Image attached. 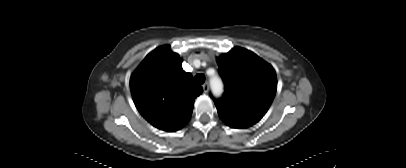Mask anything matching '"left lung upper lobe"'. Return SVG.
<instances>
[{
	"mask_svg": "<svg viewBox=\"0 0 406 168\" xmlns=\"http://www.w3.org/2000/svg\"><path fill=\"white\" fill-rule=\"evenodd\" d=\"M225 83L222 98L214 100L219 116L258 122L269 109L277 89L273 67L253 52L235 47L217 58Z\"/></svg>",
	"mask_w": 406,
	"mask_h": 168,
	"instance_id": "left-lung-upper-lobe-1",
	"label": "left lung upper lobe"
}]
</instances>
